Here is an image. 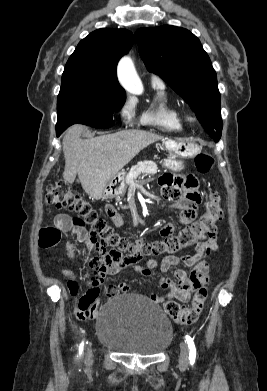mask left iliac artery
<instances>
[{"mask_svg": "<svg viewBox=\"0 0 267 391\" xmlns=\"http://www.w3.org/2000/svg\"><path fill=\"white\" fill-rule=\"evenodd\" d=\"M186 341H187L188 347L190 349L189 360H190V363L193 365L195 362V358H196V348H195L193 339L190 336L186 335Z\"/></svg>", "mask_w": 267, "mask_h": 391, "instance_id": "1", "label": "left iliac artery"}]
</instances>
